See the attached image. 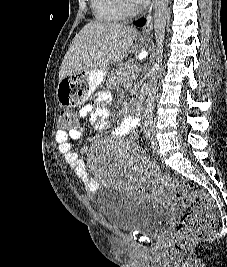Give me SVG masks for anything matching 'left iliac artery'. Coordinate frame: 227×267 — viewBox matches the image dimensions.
Masks as SVG:
<instances>
[{
	"label": "left iliac artery",
	"mask_w": 227,
	"mask_h": 267,
	"mask_svg": "<svg viewBox=\"0 0 227 267\" xmlns=\"http://www.w3.org/2000/svg\"><path fill=\"white\" fill-rule=\"evenodd\" d=\"M152 133H153V131H152V130H149V131L147 132V136L150 137V136L152 135Z\"/></svg>",
	"instance_id": "1"
}]
</instances>
